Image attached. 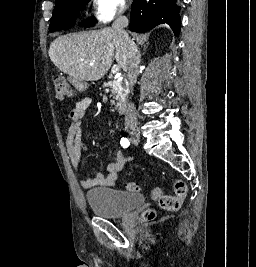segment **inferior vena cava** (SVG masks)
<instances>
[{"mask_svg": "<svg viewBox=\"0 0 256 267\" xmlns=\"http://www.w3.org/2000/svg\"><path fill=\"white\" fill-rule=\"evenodd\" d=\"M124 10H120L115 22L112 24L113 30L117 32L118 36H123L126 42L129 44L128 62H127V80L129 86H134L137 82V74L140 62V54L135 42L130 40L128 34H126L124 28L128 26V18L123 16ZM137 118L134 104H128L125 114V126L126 128H136Z\"/></svg>", "mask_w": 256, "mask_h": 267, "instance_id": "602c4592", "label": "inferior vena cava"}]
</instances>
